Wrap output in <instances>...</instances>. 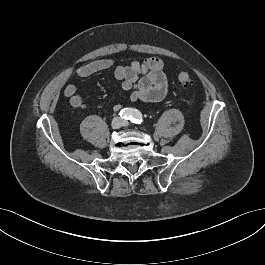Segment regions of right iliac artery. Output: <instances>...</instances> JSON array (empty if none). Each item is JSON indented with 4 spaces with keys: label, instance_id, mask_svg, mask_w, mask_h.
Wrapping results in <instances>:
<instances>
[{
    "label": "right iliac artery",
    "instance_id": "1",
    "mask_svg": "<svg viewBox=\"0 0 265 265\" xmlns=\"http://www.w3.org/2000/svg\"><path fill=\"white\" fill-rule=\"evenodd\" d=\"M133 109L131 108H124L120 111L119 115L124 119H129L133 114Z\"/></svg>",
    "mask_w": 265,
    "mask_h": 265
}]
</instances>
